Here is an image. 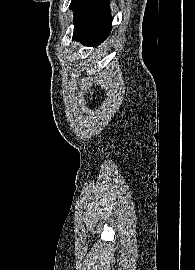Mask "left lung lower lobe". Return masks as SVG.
<instances>
[{"mask_svg":"<svg viewBox=\"0 0 195 270\" xmlns=\"http://www.w3.org/2000/svg\"><path fill=\"white\" fill-rule=\"evenodd\" d=\"M111 22L109 0H84L74 17L73 39L96 47L109 35Z\"/></svg>","mask_w":195,"mask_h":270,"instance_id":"1","label":"left lung lower lobe"}]
</instances>
